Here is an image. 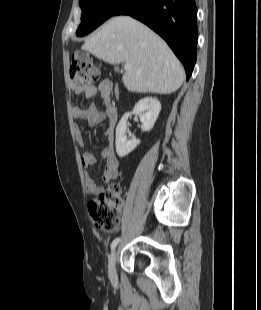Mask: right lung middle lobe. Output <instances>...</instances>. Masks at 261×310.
Listing matches in <instances>:
<instances>
[{"instance_id": "1", "label": "right lung middle lobe", "mask_w": 261, "mask_h": 310, "mask_svg": "<svg viewBox=\"0 0 261 310\" xmlns=\"http://www.w3.org/2000/svg\"><path fill=\"white\" fill-rule=\"evenodd\" d=\"M128 0H79L82 9L81 24L77 36L90 33L101 25Z\"/></svg>"}]
</instances>
